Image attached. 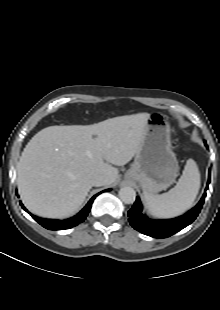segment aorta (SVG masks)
<instances>
[{
	"label": "aorta",
	"mask_w": 220,
	"mask_h": 310,
	"mask_svg": "<svg viewBox=\"0 0 220 310\" xmlns=\"http://www.w3.org/2000/svg\"><path fill=\"white\" fill-rule=\"evenodd\" d=\"M119 197L125 204H131L136 199V192L132 187H122L119 190Z\"/></svg>",
	"instance_id": "obj_1"
}]
</instances>
